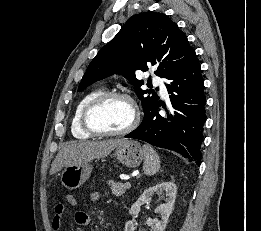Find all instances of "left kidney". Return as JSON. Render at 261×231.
I'll use <instances>...</instances> for the list:
<instances>
[{"label": "left kidney", "mask_w": 261, "mask_h": 231, "mask_svg": "<svg viewBox=\"0 0 261 231\" xmlns=\"http://www.w3.org/2000/svg\"><path fill=\"white\" fill-rule=\"evenodd\" d=\"M166 193V203L160 204L156 209L155 213H159L161 220H156L148 218L146 224L151 228V231H164L168 223L170 214L172 213L173 206L176 199L177 187L173 182H162L153 187L148 188L143 192V194L138 198V200L131 206L130 215H137L143 204H148L151 202L152 196L155 193ZM135 225L132 220L126 222L125 231H134Z\"/></svg>", "instance_id": "1"}]
</instances>
